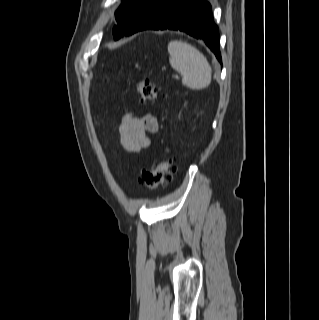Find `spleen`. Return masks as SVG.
I'll return each instance as SVG.
<instances>
[{"label": "spleen", "instance_id": "spleen-1", "mask_svg": "<svg viewBox=\"0 0 319 320\" xmlns=\"http://www.w3.org/2000/svg\"><path fill=\"white\" fill-rule=\"evenodd\" d=\"M169 62L182 74V83L190 89H203L210 84L211 67L204 55L192 45L174 40L168 44Z\"/></svg>", "mask_w": 319, "mask_h": 320}]
</instances>
